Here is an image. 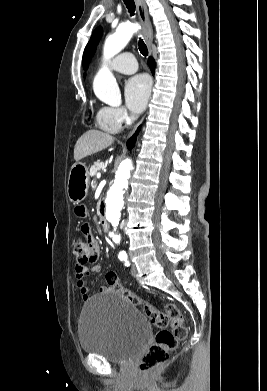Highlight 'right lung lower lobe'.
Wrapping results in <instances>:
<instances>
[{"instance_id": "1", "label": "right lung lower lobe", "mask_w": 267, "mask_h": 391, "mask_svg": "<svg viewBox=\"0 0 267 391\" xmlns=\"http://www.w3.org/2000/svg\"><path fill=\"white\" fill-rule=\"evenodd\" d=\"M148 64H149V67H150V69H151L152 74H154L155 62H154V59H153L152 57L149 58ZM138 131H139V129H138ZM138 131L133 135V137H131V138L127 141V147H128V149H132V147L134 146V143H135V140H136V135H138Z\"/></svg>"}]
</instances>
